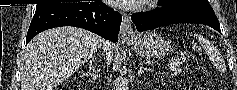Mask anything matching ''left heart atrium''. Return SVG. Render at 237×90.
Here are the masks:
<instances>
[{
  "instance_id": "obj_1",
  "label": "left heart atrium",
  "mask_w": 237,
  "mask_h": 90,
  "mask_svg": "<svg viewBox=\"0 0 237 90\" xmlns=\"http://www.w3.org/2000/svg\"><path fill=\"white\" fill-rule=\"evenodd\" d=\"M150 0H112V7H122L123 10H136L142 7L143 3H149Z\"/></svg>"
}]
</instances>
